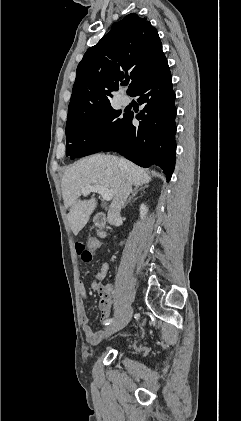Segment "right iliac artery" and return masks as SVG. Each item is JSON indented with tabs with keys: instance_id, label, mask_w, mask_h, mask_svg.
Wrapping results in <instances>:
<instances>
[{
	"instance_id": "obj_1",
	"label": "right iliac artery",
	"mask_w": 241,
	"mask_h": 421,
	"mask_svg": "<svg viewBox=\"0 0 241 421\" xmlns=\"http://www.w3.org/2000/svg\"><path fill=\"white\" fill-rule=\"evenodd\" d=\"M113 320H114L113 318L107 319V320H106L103 324L107 326V325H109L110 323H112V322H113Z\"/></svg>"
}]
</instances>
